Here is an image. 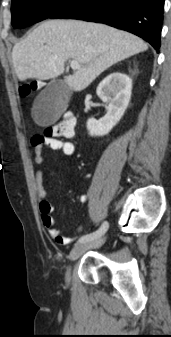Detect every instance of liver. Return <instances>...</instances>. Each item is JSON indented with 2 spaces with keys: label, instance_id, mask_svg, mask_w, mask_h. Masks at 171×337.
<instances>
[{
  "label": "liver",
  "instance_id": "obj_1",
  "mask_svg": "<svg viewBox=\"0 0 171 337\" xmlns=\"http://www.w3.org/2000/svg\"><path fill=\"white\" fill-rule=\"evenodd\" d=\"M148 49L139 37L113 27L78 20H48L40 24L12 51L20 81L48 80L64 73L68 59L81 64L65 76L67 86L78 92L88 87L115 63Z\"/></svg>",
  "mask_w": 171,
  "mask_h": 337
}]
</instances>
